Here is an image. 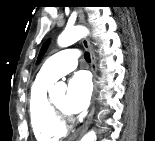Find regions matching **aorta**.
I'll list each match as a JSON object with an SVG mask.
<instances>
[{
	"instance_id": "aorta-1",
	"label": "aorta",
	"mask_w": 155,
	"mask_h": 141,
	"mask_svg": "<svg viewBox=\"0 0 155 141\" xmlns=\"http://www.w3.org/2000/svg\"><path fill=\"white\" fill-rule=\"evenodd\" d=\"M89 33L88 29L83 26H74L71 28H66L61 35L58 37V45L61 47H68L73 43L77 42ZM66 90V85L64 83H57L51 90L50 93L54 94L57 92L64 93ZM95 132L90 131L83 136L81 141H94Z\"/></svg>"
}]
</instances>
